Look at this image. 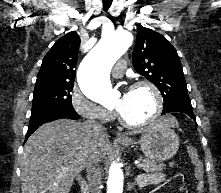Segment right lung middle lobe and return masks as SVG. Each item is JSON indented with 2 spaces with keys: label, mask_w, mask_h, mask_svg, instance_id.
<instances>
[{
  "label": "right lung middle lobe",
  "mask_w": 221,
  "mask_h": 193,
  "mask_svg": "<svg viewBox=\"0 0 221 193\" xmlns=\"http://www.w3.org/2000/svg\"><path fill=\"white\" fill-rule=\"evenodd\" d=\"M73 85L74 83L36 84L31 112L36 113L49 108L73 109L70 94Z\"/></svg>",
  "instance_id": "dd1d6c3e"
}]
</instances>
